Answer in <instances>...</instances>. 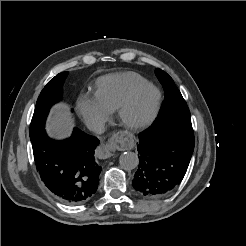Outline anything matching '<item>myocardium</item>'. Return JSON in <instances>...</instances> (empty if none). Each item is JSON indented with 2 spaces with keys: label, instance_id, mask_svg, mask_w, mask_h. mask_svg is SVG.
Masks as SVG:
<instances>
[{
  "label": "myocardium",
  "instance_id": "1",
  "mask_svg": "<svg viewBox=\"0 0 246 246\" xmlns=\"http://www.w3.org/2000/svg\"><path fill=\"white\" fill-rule=\"evenodd\" d=\"M151 92L153 94L150 108L146 115L139 120L133 121L128 119L127 111L136 100L144 92ZM161 103V92L160 90L152 83H146L135 88L131 91L118 105L116 109V117L118 121L127 129L132 131H139L148 127L156 118Z\"/></svg>",
  "mask_w": 246,
  "mask_h": 246
}]
</instances>
